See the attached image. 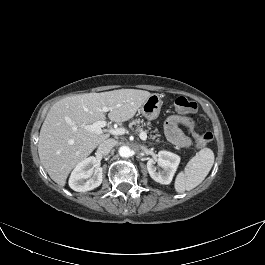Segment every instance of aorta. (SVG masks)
<instances>
[{"label":"aorta","mask_w":265,"mask_h":265,"mask_svg":"<svg viewBox=\"0 0 265 265\" xmlns=\"http://www.w3.org/2000/svg\"><path fill=\"white\" fill-rule=\"evenodd\" d=\"M118 152H119V155H120L121 157H124V158H128V157L132 156V151H131V149H130L129 147H127V146H121V147L119 148Z\"/></svg>","instance_id":"obj_1"}]
</instances>
